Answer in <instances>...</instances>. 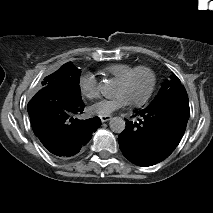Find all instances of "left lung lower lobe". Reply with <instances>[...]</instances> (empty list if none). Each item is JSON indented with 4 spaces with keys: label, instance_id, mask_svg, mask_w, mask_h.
<instances>
[{
    "label": "left lung lower lobe",
    "instance_id": "obj_1",
    "mask_svg": "<svg viewBox=\"0 0 213 213\" xmlns=\"http://www.w3.org/2000/svg\"><path fill=\"white\" fill-rule=\"evenodd\" d=\"M138 114V122L126 121V129L118 138L119 146L132 163L153 165L169 156L179 144L189 116L172 108H146Z\"/></svg>",
    "mask_w": 213,
    "mask_h": 213
}]
</instances>
